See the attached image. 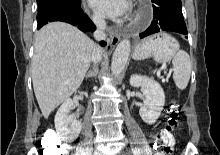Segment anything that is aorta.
I'll return each instance as SVG.
<instances>
[{
  "label": "aorta",
  "instance_id": "1",
  "mask_svg": "<svg viewBox=\"0 0 220 155\" xmlns=\"http://www.w3.org/2000/svg\"><path fill=\"white\" fill-rule=\"evenodd\" d=\"M130 41L122 40L116 47L111 63V71L113 75H119L125 68L130 54Z\"/></svg>",
  "mask_w": 220,
  "mask_h": 155
}]
</instances>
